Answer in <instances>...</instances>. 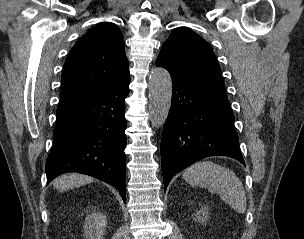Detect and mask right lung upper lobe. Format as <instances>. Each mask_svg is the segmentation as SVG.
I'll use <instances>...</instances> for the list:
<instances>
[{"label": "right lung upper lobe", "mask_w": 304, "mask_h": 239, "mask_svg": "<svg viewBox=\"0 0 304 239\" xmlns=\"http://www.w3.org/2000/svg\"><path fill=\"white\" fill-rule=\"evenodd\" d=\"M129 76L124 39L114 23L90 29L64 64L58 109L84 101Z\"/></svg>", "instance_id": "cb5924a9"}]
</instances>
